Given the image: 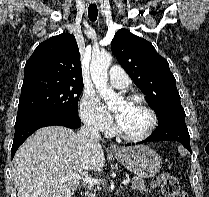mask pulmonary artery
Instances as JSON below:
<instances>
[{
    "mask_svg": "<svg viewBox=\"0 0 209 197\" xmlns=\"http://www.w3.org/2000/svg\"><path fill=\"white\" fill-rule=\"evenodd\" d=\"M109 79L110 84L118 89L126 88L130 83L127 73L119 66H112L109 69Z\"/></svg>",
    "mask_w": 209,
    "mask_h": 197,
    "instance_id": "obj_1",
    "label": "pulmonary artery"
}]
</instances>
